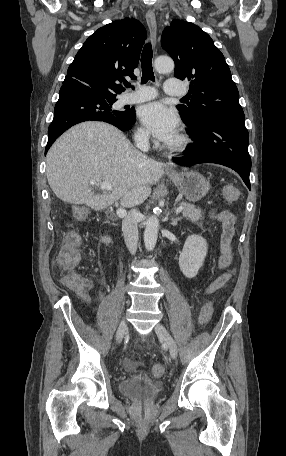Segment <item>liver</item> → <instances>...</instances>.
Here are the masks:
<instances>
[{"label": "liver", "instance_id": "liver-1", "mask_svg": "<svg viewBox=\"0 0 286 456\" xmlns=\"http://www.w3.org/2000/svg\"><path fill=\"white\" fill-rule=\"evenodd\" d=\"M163 166L136 150L112 125L85 122L66 131L51 146L46 174L60 200L100 211L117 200L127 208L142 204L151 193L150 185L164 174ZM91 181H108L112 190L95 195Z\"/></svg>", "mask_w": 286, "mask_h": 456}]
</instances>
